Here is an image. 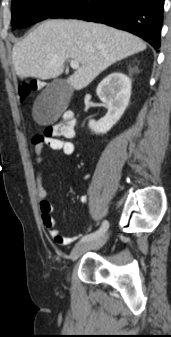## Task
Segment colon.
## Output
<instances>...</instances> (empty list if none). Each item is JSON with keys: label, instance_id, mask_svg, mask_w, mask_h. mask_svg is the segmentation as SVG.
<instances>
[{"label": "colon", "instance_id": "1", "mask_svg": "<svg viewBox=\"0 0 171 337\" xmlns=\"http://www.w3.org/2000/svg\"><path fill=\"white\" fill-rule=\"evenodd\" d=\"M42 82L30 81L23 83L19 88V94L22 98L29 97L32 93L36 92L41 86ZM74 131V121L65 116V118L55 124L49 125L45 129V136L48 137H70Z\"/></svg>", "mask_w": 171, "mask_h": 337}]
</instances>
